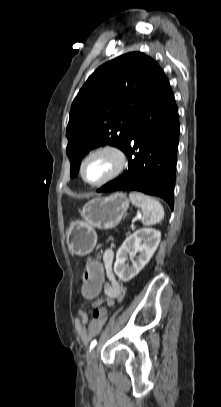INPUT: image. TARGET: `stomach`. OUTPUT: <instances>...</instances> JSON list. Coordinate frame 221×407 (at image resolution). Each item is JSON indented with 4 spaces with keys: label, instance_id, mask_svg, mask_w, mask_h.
Returning <instances> with one entry per match:
<instances>
[{
    "label": "stomach",
    "instance_id": "1",
    "mask_svg": "<svg viewBox=\"0 0 221 407\" xmlns=\"http://www.w3.org/2000/svg\"><path fill=\"white\" fill-rule=\"evenodd\" d=\"M128 207L129 200L124 193H114L88 201L80 210L82 219L71 222L67 230L70 252L81 256L89 254L97 242L95 229L115 228Z\"/></svg>",
    "mask_w": 221,
    "mask_h": 407
}]
</instances>
